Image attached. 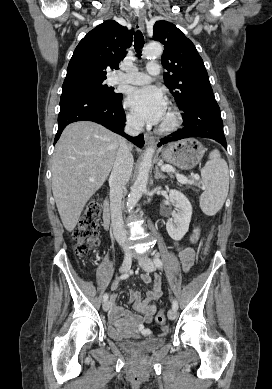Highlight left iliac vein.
I'll return each mask as SVG.
<instances>
[{
    "instance_id": "left-iliac-vein-1",
    "label": "left iliac vein",
    "mask_w": 272,
    "mask_h": 389,
    "mask_svg": "<svg viewBox=\"0 0 272 389\" xmlns=\"http://www.w3.org/2000/svg\"><path fill=\"white\" fill-rule=\"evenodd\" d=\"M139 264L141 265L143 270L146 271V272H152V271L155 270L154 263L147 256L140 257L139 258ZM176 316H177V311L176 310L170 309L168 311V318L170 320H174L176 318Z\"/></svg>"
}]
</instances>
